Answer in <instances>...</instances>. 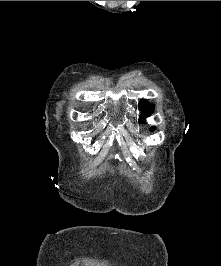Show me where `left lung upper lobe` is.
Instances as JSON below:
<instances>
[{"instance_id": "obj_1", "label": "left lung upper lobe", "mask_w": 221, "mask_h": 266, "mask_svg": "<svg viewBox=\"0 0 221 266\" xmlns=\"http://www.w3.org/2000/svg\"><path fill=\"white\" fill-rule=\"evenodd\" d=\"M139 108H143V114L141 115L140 122L144 123V119L153 112L154 106L152 104H148L146 100H142L139 104ZM155 127H151V131H153Z\"/></svg>"}]
</instances>
